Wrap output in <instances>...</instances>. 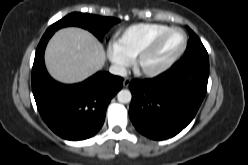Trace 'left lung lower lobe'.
<instances>
[{
    "instance_id": "0a47b994",
    "label": "left lung lower lobe",
    "mask_w": 248,
    "mask_h": 165,
    "mask_svg": "<svg viewBox=\"0 0 248 165\" xmlns=\"http://www.w3.org/2000/svg\"><path fill=\"white\" fill-rule=\"evenodd\" d=\"M209 58L206 49L184 55L165 73L129 87L130 119L143 135L164 140L183 130L196 115L207 91Z\"/></svg>"
}]
</instances>
